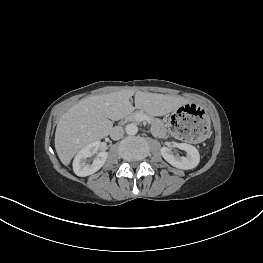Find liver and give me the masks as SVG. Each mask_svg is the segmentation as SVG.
<instances>
[{
  "label": "liver",
  "mask_w": 263,
  "mask_h": 263,
  "mask_svg": "<svg viewBox=\"0 0 263 263\" xmlns=\"http://www.w3.org/2000/svg\"><path fill=\"white\" fill-rule=\"evenodd\" d=\"M134 94L135 107L130 102ZM185 103L180 96L135 92L131 89L83 98L65 112L57 124L55 149L58 157L64 165H69L80 149L110 134L113 127L111 120L127 116L134 108L162 116Z\"/></svg>",
  "instance_id": "6515ba94"
}]
</instances>
